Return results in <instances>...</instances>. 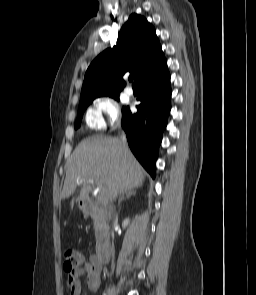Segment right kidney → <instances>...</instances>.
I'll use <instances>...</instances> for the list:
<instances>
[{
	"instance_id": "right-kidney-1",
	"label": "right kidney",
	"mask_w": 256,
	"mask_h": 295,
	"mask_svg": "<svg viewBox=\"0 0 256 295\" xmlns=\"http://www.w3.org/2000/svg\"><path fill=\"white\" fill-rule=\"evenodd\" d=\"M129 222H130L129 218H126V219L123 221V223H122V227H123V228H126V227L128 226V224H129Z\"/></svg>"
}]
</instances>
